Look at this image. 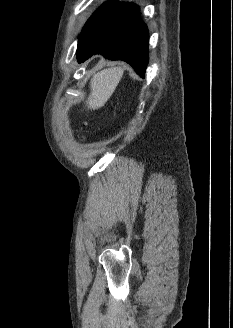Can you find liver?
Listing matches in <instances>:
<instances>
[{"label": "liver", "mask_w": 233, "mask_h": 328, "mask_svg": "<svg viewBox=\"0 0 233 328\" xmlns=\"http://www.w3.org/2000/svg\"><path fill=\"white\" fill-rule=\"evenodd\" d=\"M124 73L121 67L104 69L93 75L86 106L90 110L101 108L111 97Z\"/></svg>", "instance_id": "1"}]
</instances>
